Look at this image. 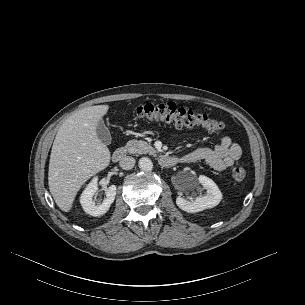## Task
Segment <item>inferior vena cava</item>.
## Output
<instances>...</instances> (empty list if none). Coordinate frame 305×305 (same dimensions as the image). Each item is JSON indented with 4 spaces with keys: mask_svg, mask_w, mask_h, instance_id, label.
<instances>
[{
    "mask_svg": "<svg viewBox=\"0 0 305 305\" xmlns=\"http://www.w3.org/2000/svg\"><path fill=\"white\" fill-rule=\"evenodd\" d=\"M135 159L131 156H124L120 162L119 165L122 169L124 170H130L134 167L135 165Z\"/></svg>",
    "mask_w": 305,
    "mask_h": 305,
    "instance_id": "inferior-vena-cava-1",
    "label": "inferior vena cava"
}]
</instances>
